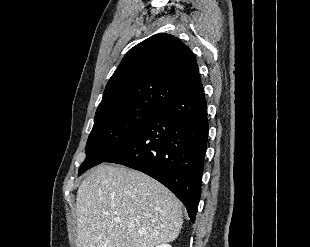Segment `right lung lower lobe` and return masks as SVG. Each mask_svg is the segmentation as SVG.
I'll return each mask as SVG.
<instances>
[{
  "mask_svg": "<svg viewBox=\"0 0 310 247\" xmlns=\"http://www.w3.org/2000/svg\"><path fill=\"white\" fill-rule=\"evenodd\" d=\"M208 132L201 88L160 109L104 162L122 164L158 180L183 202L194 222Z\"/></svg>",
  "mask_w": 310,
  "mask_h": 247,
  "instance_id": "1",
  "label": "right lung lower lobe"
}]
</instances>
